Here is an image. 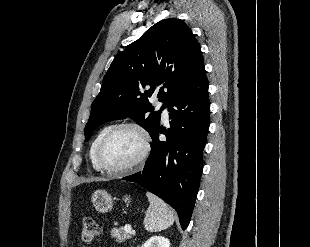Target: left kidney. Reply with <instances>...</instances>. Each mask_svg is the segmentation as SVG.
I'll use <instances>...</instances> for the list:
<instances>
[{"mask_svg":"<svg viewBox=\"0 0 310 247\" xmlns=\"http://www.w3.org/2000/svg\"><path fill=\"white\" fill-rule=\"evenodd\" d=\"M142 247H170V241L163 236H153Z\"/></svg>","mask_w":310,"mask_h":247,"instance_id":"left-kidney-1","label":"left kidney"}]
</instances>
